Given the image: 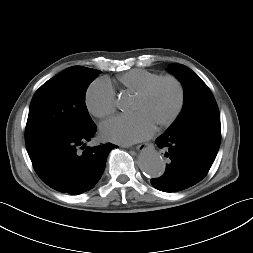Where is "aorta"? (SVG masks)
I'll list each match as a JSON object with an SVG mask.
<instances>
[{
  "mask_svg": "<svg viewBox=\"0 0 253 253\" xmlns=\"http://www.w3.org/2000/svg\"><path fill=\"white\" fill-rule=\"evenodd\" d=\"M117 106L125 110L128 107L127 99L121 98ZM140 170L151 178H158L165 172V163L162 156L152 147L145 148L138 158Z\"/></svg>",
  "mask_w": 253,
  "mask_h": 253,
  "instance_id": "762f6f07",
  "label": "aorta"
}]
</instances>
